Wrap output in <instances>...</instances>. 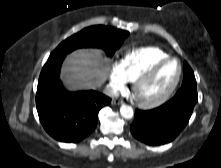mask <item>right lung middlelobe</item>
Masks as SVG:
<instances>
[{"mask_svg":"<svg viewBox=\"0 0 221 168\" xmlns=\"http://www.w3.org/2000/svg\"><path fill=\"white\" fill-rule=\"evenodd\" d=\"M128 35L127 31L112 27L91 26L64 40L50 57L66 56L73 50L82 47L102 48L108 56H112Z\"/></svg>","mask_w":221,"mask_h":168,"instance_id":"obj_1","label":"right lung middle lobe"}]
</instances>
